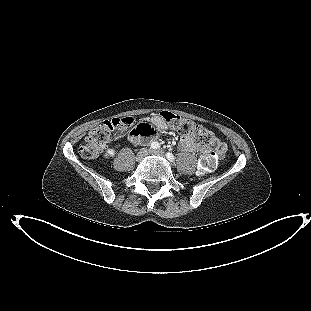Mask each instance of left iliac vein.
<instances>
[{
	"mask_svg": "<svg viewBox=\"0 0 311 311\" xmlns=\"http://www.w3.org/2000/svg\"><path fill=\"white\" fill-rule=\"evenodd\" d=\"M150 153L152 154V155H157V156H160V157H165V153H164V151L163 150H156V151H150Z\"/></svg>",
	"mask_w": 311,
	"mask_h": 311,
	"instance_id": "obj_1",
	"label": "left iliac vein"
}]
</instances>
